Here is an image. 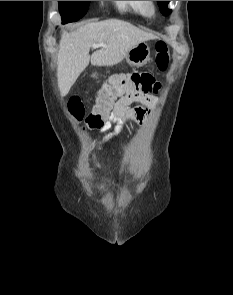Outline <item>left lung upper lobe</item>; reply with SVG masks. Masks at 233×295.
I'll use <instances>...</instances> for the list:
<instances>
[{"mask_svg": "<svg viewBox=\"0 0 233 295\" xmlns=\"http://www.w3.org/2000/svg\"><path fill=\"white\" fill-rule=\"evenodd\" d=\"M170 1H158V5L160 8V11L162 12L163 15L167 16L171 13V10L167 8V5Z\"/></svg>", "mask_w": 233, "mask_h": 295, "instance_id": "left-lung-upper-lobe-1", "label": "left lung upper lobe"}]
</instances>
